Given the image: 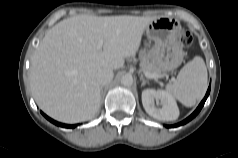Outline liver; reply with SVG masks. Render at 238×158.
<instances>
[{"label":"liver","mask_w":238,"mask_h":158,"mask_svg":"<svg viewBox=\"0 0 238 158\" xmlns=\"http://www.w3.org/2000/svg\"><path fill=\"white\" fill-rule=\"evenodd\" d=\"M155 19L77 15L54 25L31 58L30 84L39 107L64 123L93 118L101 101L98 70L122 68ZM100 42L103 50L98 49Z\"/></svg>","instance_id":"6515ba94"}]
</instances>
